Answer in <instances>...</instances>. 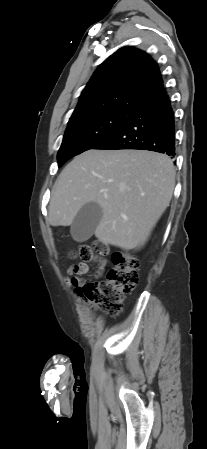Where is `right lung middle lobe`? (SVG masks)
<instances>
[{
	"instance_id": "obj_1",
	"label": "right lung middle lobe",
	"mask_w": 207,
	"mask_h": 449,
	"mask_svg": "<svg viewBox=\"0 0 207 449\" xmlns=\"http://www.w3.org/2000/svg\"><path fill=\"white\" fill-rule=\"evenodd\" d=\"M133 112L130 109H110L71 118L58 152V166L92 149L122 127Z\"/></svg>"
}]
</instances>
